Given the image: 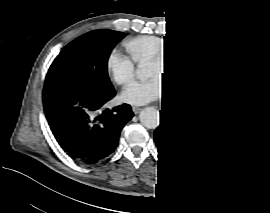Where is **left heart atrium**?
<instances>
[{
	"instance_id": "39dd6f15",
	"label": "left heart atrium",
	"mask_w": 270,
	"mask_h": 213,
	"mask_svg": "<svg viewBox=\"0 0 270 213\" xmlns=\"http://www.w3.org/2000/svg\"><path fill=\"white\" fill-rule=\"evenodd\" d=\"M160 94L161 84L156 79L133 82L124 91V97L129 101L148 102L158 98Z\"/></svg>"
}]
</instances>
